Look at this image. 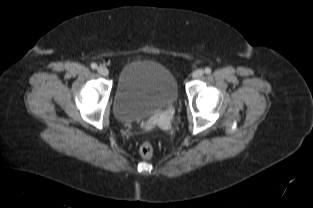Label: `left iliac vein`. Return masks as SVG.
Wrapping results in <instances>:
<instances>
[{"instance_id":"4c4485c4","label":"left iliac vein","mask_w":313,"mask_h":208,"mask_svg":"<svg viewBox=\"0 0 313 208\" xmlns=\"http://www.w3.org/2000/svg\"><path fill=\"white\" fill-rule=\"evenodd\" d=\"M204 74V71L202 69H197L192 73V77L195 79H198L200 77H202Z\"/></svg>"}]
</instances>
